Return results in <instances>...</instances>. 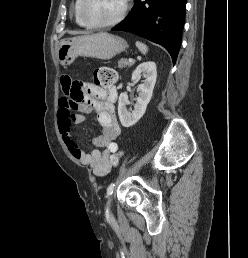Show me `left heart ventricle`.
Listing matches in <instances>:
<instances>
[{
  "label": "left heart ventricle",
  "mask_w": 248,
  "mask_h": 258,
  "mask_svg": "<svg viewBox=\"0 0 248 258\" xmlns=\"http://www.w3.org/2000/svg\"><path fill=\"white\" fill-rule=\"evenodd\" d=\"M123 0H85L84 12L95 23L113 19L120 12Z\"/></svg>",
  "instance_id": "b2bd125f"
}]
</instances>
